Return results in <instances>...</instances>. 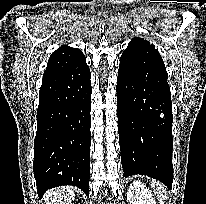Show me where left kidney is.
Instances as JSON below:
<instances>
[{
    "mask_svg": "<svg viewBox=\"0 0 206 204\" xmlns=\"http://www.w3.org/2000/svg\"><path fill=\"white\" fill-rule=\"evenodd\" d=\"M127 200L132 204H156L151 191L140 181L130 184Z\"/></svg>",
    "mask_w": 206,
    "mask_h": 204,
    "instance_id": "obj_1",
    "label": "left kidney"
}]
</instances>
